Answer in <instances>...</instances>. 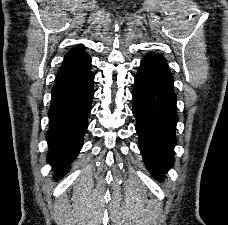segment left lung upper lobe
<instances>
[{"mask_svg": "<svg viewBox=\"0 0 228 225\" xmlns=\"http://www.w3.org/2000/svg\"><path fill=\"white\" fill-rule=\"evenodd\" d=\"M149 55H153V56H156V57L163 58V57H162L161 55H159V54L149 53Z\"/></svg>", "mask_w": 228, "mask_h": 225, "instance_id": "obj_1", "label": "left lung upper lobe"}]
</instances>
